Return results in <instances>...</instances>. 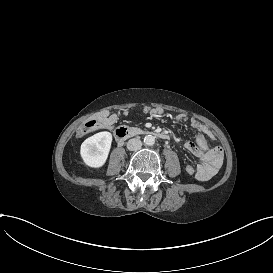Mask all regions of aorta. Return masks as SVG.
Here are the masks:
<instances>
[{
  "mask_svg": "<svg viewBox=\"0 0 273 273\" xmlns=\"http://www.w3.org/2000/svg\"><path fill=\"white\" fill-rule=\"evenodd\" d=\"M145 145L152 146L155 143V137L153 135H146L144 137Z\"/></svg>",
  "mask_w": 273,
  "mask_h": 273,
  "instance_id": "obj_1",
  "label": "aorta"
}]
</instances>
